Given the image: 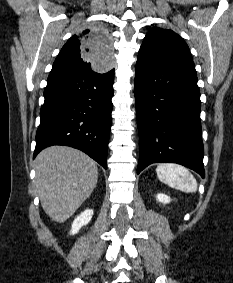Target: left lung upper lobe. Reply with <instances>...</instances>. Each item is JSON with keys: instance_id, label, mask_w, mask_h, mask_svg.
I'll list each match as a JSON object with an SVG mask.
<instances>
[{"instance_id": "1", "label": "left lung upper lobe", "mask_w": 233, "mask_h": 283, "mask_svg": "<svg viewBox=\"0 0 233 283\" xmlns=\"http://www.w3.org/2000/svg\"><path fill=\"white\" fill-rule=\"evenodd\" d=\"M140 51L158 56L186 58L192 60L185 41L169 29L154 27L145 36Z\"/></svg>"}]
</instances>
